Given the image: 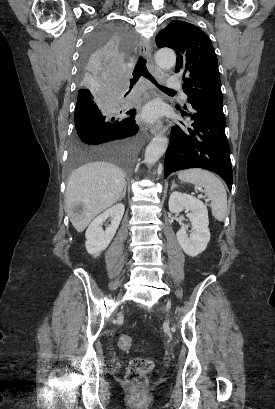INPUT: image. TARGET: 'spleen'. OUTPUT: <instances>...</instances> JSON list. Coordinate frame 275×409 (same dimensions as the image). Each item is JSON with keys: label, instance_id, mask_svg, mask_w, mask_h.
Listing matches in <instances>:
<instances>
[{"label": "spleen", "instance_id": "spleen-1", "mask_svg": "<svg viewBox=\"0 0 275 409\" xmlns=\"http://www.w3.org/2000/svg\"><path fill=\"white\" fill-rule=\"evenodd\" d=\"M178 178L184 182H192L203 186L206 196L211 198L212 215L217 221H224L227 211V194L221 180L209 172V170H202V168H189V170H182L179 172Z\"/></svg>", "mask_w": 275, "mask_h": 409}]
</instances>
